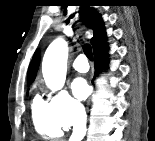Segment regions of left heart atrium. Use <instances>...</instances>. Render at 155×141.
Here are the masks:
<instances>
[{
	"mask_svg": "<svg viewBox=\"0 0 155 141\" xmlns=\"http://www.w3.org/2000/svg\"><path fill=\"white\" fill-rule=\"evenodd\" d=\"M72 90L74 95L78 99H84L89 93V87L86 81L82 78H77L72 84Z\"/></svg>",
	"mask_w": 155,
	"mask_h": 141,
	"instance_id": "1",
	"label": "left heart atrium"
}]
</instances>
